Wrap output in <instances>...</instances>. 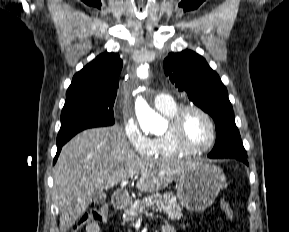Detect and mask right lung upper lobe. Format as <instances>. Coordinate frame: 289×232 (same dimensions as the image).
I'll use <instances>...</instances> for the list:
<instances>
[{
  "instance_id": "obj_1",
  "label": "right lung upper lobe",
  "mask_w": 289,
  "mask_h": 232,
  "mask_svg": "<svg viewBox=\"0 0 289 232\" xmlns=\"http://www.w3.org/2000/svg\"><path fill=\"white\" fill-rule=\"evenodd\" d=\"M123 62L117 53H103L77 72L66 101L79 97H116Z\"/></svg>"
}]
</instances>
